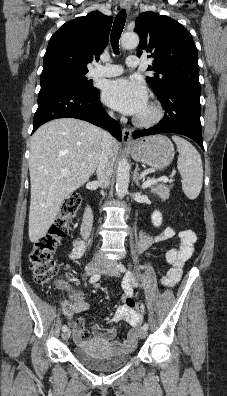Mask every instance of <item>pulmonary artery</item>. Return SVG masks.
I'll return each mask as SVG.
<instances>
[{
    "mask_svg": "<svg viewBox=\"0 0 227 396\" xmlns=\"http://www.w3.org/2000/svg\"><path fill=\"white\" fill-rule=\"evenodd\" d=\"M140 61L136 56H129L126 59V65L130 68H135L139 66ZM123 72V68L120 65H106L97 66L93 69L92 75L95 77H114L118 76Z\"/></svg>",
    "mask_w": 227,
    "mask_h": 396,
    "instance_id": "obj_1",
    "label": "pulmonary artery"
}]
</instances>
